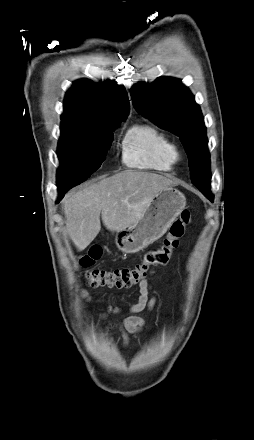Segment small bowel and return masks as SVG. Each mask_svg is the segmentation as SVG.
<instances>
[{"label": "small bowel", "instance_id": "small-bowel-1", "mask_svg": "<svg viewBox=\"0 0 254 440\" xmlns=\"http://www.w3.org/2000/svg\"><path fill=\"white\" fill-rule=\"evenodd\" d=\"M150 289L151 285L149 280L146 278L142 279L139 282V296L137 302L131 305L129 308L133 315L124 318L121 322L115 325L122 332L124 343L126 345L129 343V335L138 333L145 324V319L136 314L145 309L152 310L155 305L156 298L154 296H149ZM82 296L85 300L91 301V296L86 290L82 291ZM109 311L119 313L118 308H110Z\"/></svg>", "mask_w": 254, "mask_h": 440}]
</instances>
